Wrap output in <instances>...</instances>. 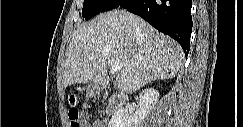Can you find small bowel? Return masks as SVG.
Here are the masks:
<instances>
[{"mask_svg": "<svg viewBox=\"0 0 243 127\" xmlns=\"http://www.w3.org/2000/svg\"><path fill=\"white\" fill-rule=\"evenodd\" d=\"M84 127H91V125L87 121L84 120ZM93 127H103V124L100 122H96L93 124Z\"/></svg>", "mask_w": 243, "mask_h": 127, "instance_id": "1", "label": "small bowel"}]
</instances>
